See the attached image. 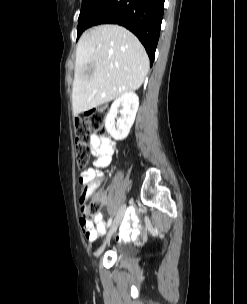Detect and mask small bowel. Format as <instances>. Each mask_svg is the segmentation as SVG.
Masks as SVG:
<instances>
[{
	"mask_svg": "<svg viewBox=\"0 0 247 304\" xmlns=\"http://www.w3.org/2000/svg\"><path fill=\"white\" fill-rule=\"evenodd\" d=\"M89 147L95 160L92 167L87 168L81 173L79 180L81 184L88 186L89 193H91L92 189L104 179V174L101 169L110 164L115 143L106 136L92 135L89 139ZM130 217L132 220L122 228L119 234L118 239L120 241H135L140 237V230L135 221L134 212H131ZM93 222L80 221L82 232L90 242L95 241L100 235L106 232L103 215L101 213H98L94 217Z\"/></svg>",
	"mask_w": 247,
	"mask_h": 304,
	"instance_id": "obj_1",
	"label": "small bowel"
}]
</instances>
